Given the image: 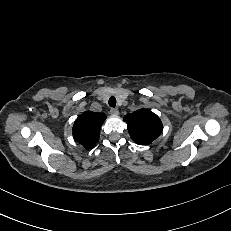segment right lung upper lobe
Wrapping results in <instances>:
<instances>
[{
  "mask_svg": "<svg viewBox=\"0 0 231 231\" xmlns=\"http://www.w3.org/2000/svg\"><path fill=\"white\" fill-rule=\"evenodd\" d=\"M105 119L106 116L103 113L84 112L74 122V139L86 149L94 147L99 140L100 128Z\"/></svg>",
  "mask_w": 231,
  "mask_h": 231,
  "instance_id": "right-lung-upper-lobe-1",
  "label": "right lung upper lobe"
}]
</instances>
